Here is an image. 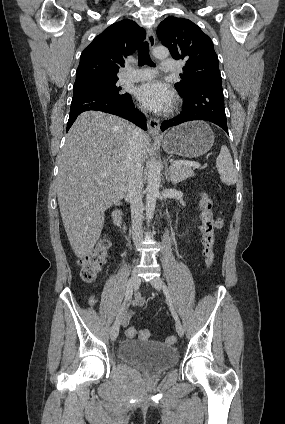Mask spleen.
Returning <instances> with one entry per match:
<instances>
[{
	"label": "spleen",
	"mask_w": 285,
	"mask_h": 424,
	"mask_svg": "<svg viewBox=\"0 0 285 424\" xmlns=\"http://www.w3.org/2000/svg\"><path fill=\"white\" fill-rule=\"evenodd\" d=\"M216 167L220 174L221 182L226 185H234L237 180V173L233 165V160L227 146L221 147L216 159Z\"/></svg>",
	"instance_id": "3e777b00"
}]
</instances>
